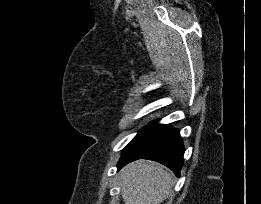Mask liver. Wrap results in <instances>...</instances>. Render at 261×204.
Returning a JSON list of instances; mask_svg holds the SVG:
<instances>
[{
	"label": "liver",
	"mask_w": 261,
	"mask_h": 204,
	"mask_svg": "<svg viewBox=\"0 0 261 204\" xmlns=\"http://www.w3.org/2000/svg\"><path fill=\"white\" fill-rule=\"evenodd\" d=\"M120 176L125 204H161L173 185L172 175L152 161H134L121 170Z\"/></svg>",
	"instance_id": "obj_1"
}]
</instances>
